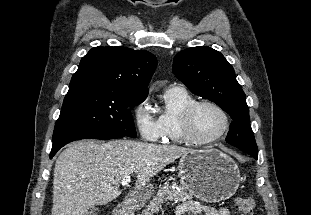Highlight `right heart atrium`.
<instances>
[{"mask_svg":"<svg viewBox=\"0 0 311 215\" xmlns=\"http://www.w3.org/2000/svg\"><path fill=\"white\" fill-rule=\"evenodd\" d=\"M132 117L142 139L149 142H157L163 139L162 124L153 113L147 98H143L135 104Z\"/></svg>","mask_w":311,"mask_h":215,"instance_id":"obj_1","label":"right heart atrium"}]
</instances>
